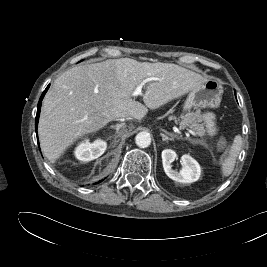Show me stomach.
<instances>
[{
    "mask_svg": "<svg viewBox=\"0 0 267 267\" xmlns=\"http://www.w3.org/2000/svg\"><path fill=\"white\" fill-rule=\"evenodd\" d=\"M223 87L216 79H208L200 87L190 91L185 104L184 111L199 108H217L222 99Z\"/></svg>",
    "mask_w": 267,
    "mask_h": 267,
    "instance_id": "0dacf381",
    "label": "stomach"
}]
</instances>
